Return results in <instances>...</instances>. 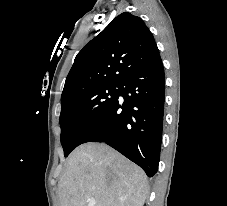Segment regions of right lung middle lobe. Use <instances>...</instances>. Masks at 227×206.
<instances>
[{"mask_svg":"<svg viewBox=\"0 0 227 206\" xmlns=\"http://www.w3.org/2000/svg\"><path fill=\"white\" fill-rule=\"evenodd\" d=\"M120 84L89 88L61 100V144L64 155L82 144L92 128L118 99Z\"/></svg>","mask_w":227,"mask_h":206,"instance_id":"obj_1","label":"right lung middle lobe"}]
</instances>
